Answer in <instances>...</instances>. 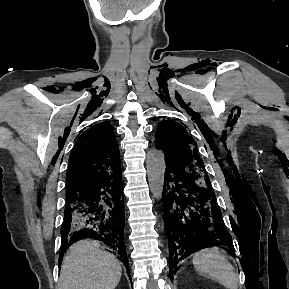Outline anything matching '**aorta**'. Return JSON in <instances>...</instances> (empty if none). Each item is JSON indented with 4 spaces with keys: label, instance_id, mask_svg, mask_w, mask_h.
Listing matches in <instances>:
<instances>
[{
    "label": "aorta",
    "instance_id": "obj_1",
    "mask_svg": "<svg viewBox=\"0 0 289 289\" xmlns=\"http://www.w3.org/2000/svg\"><path fill=\"white\" fill-rule=\"evenodd\" d=\"M165 167V157L162 151L153 149L147 153V177L150 190L156 199L162 198Z\"/></svg>",
    "mask_w": 289,
    "mask_h": 289
}]
</instances>
